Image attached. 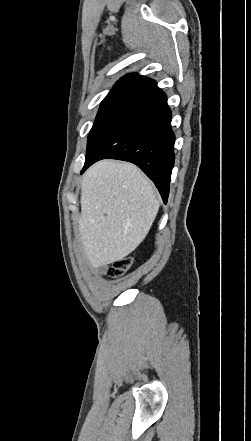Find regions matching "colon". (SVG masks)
Returning a JSON list of instances; mask_svg holds the SVG:
<instances>
[{
  "instance_id": "obj_1",
  "label": "colon",
  "mask_w": 251,
  "mask_h": 441,
  "mask_svg": "<svg viewBox=\"0 0 251 441\" xmlns=\"http://www.w3.org/2000/svg\"><path fill=\"white\" fill-rule=\"evenodd\" d=\"M132 265L131 257H122L114 261L111 268L108 270V275L113 278L123 275Z\"/></svg>"
}]
</instances>
